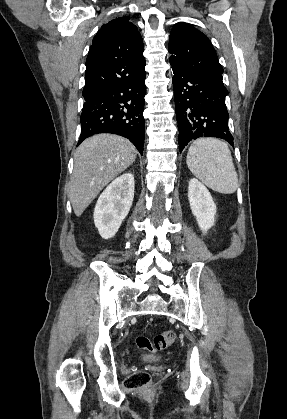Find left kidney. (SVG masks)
I'll return each instance as SVG.
<instances>
[{
	"mask_svg": "<svg viewBox=\"0 0 287 419\" xmlns=\"http://www.w3.org/2000/svg\"><path fill=\"white\" fill-rule=\"evenodd\" d=\"M188 199L198 226L206 233L215 223L216 205L208 189L196 178L188 186Z\"/></svg>",
	"mask_w": 287,
	"mask_h": 419,
	"instance_id": "5707ae66",
	"label": "left kidney"
}]
</instances>
